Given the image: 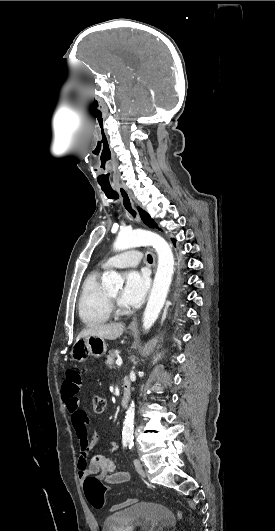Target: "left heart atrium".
Instances as JSON below:
<instances>
[{
	"label": "left heart atrium",
	"instance_id": "39dd6f15",
	"mask_svg": "<svg viewBox=\"0 0 275 531\" xmlns=\"http://www.w3.org/2000/svg\"><path fill=\"white\" fill-rule=\"evenodd\" d=\"M149 277L144 269H131L125 274L124 287L119 300L124 306L138 307L148 290Z\"/></svg>",
	"mask_w": 275,
	"mask_h": 531
}]
</instances>
